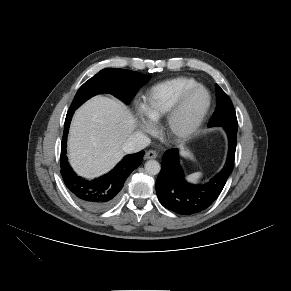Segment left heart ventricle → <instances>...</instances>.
Listing matches in <instances>:
<instances>
[{"label": "left heart ventricle", "mask_w": 291, "mask_h": 291, "mask_svg": "<svg viewBox=\"0 0 291 291\" xmlns=\"http://www.w3.org/2000/svg\"><path fill=\"white\" fill-rule=\"evenodd\" d=\"M206 103V95L203 91L194 93L186 103L180 118L179 125L185 127L189 125L201 112Z\"/></svg>", "instance_id": "obj_1"}]
</instances>
